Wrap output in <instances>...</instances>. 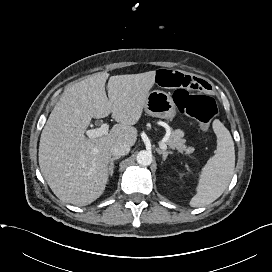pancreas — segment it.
I'll use <instances>...</instances> for the list:
<instances>
[{"instance_id":"obj_1","label":"pancreas","mask_w":272,"mask_h":272,"mask_svg":"<svg viewBox=\"0 0 272 272\" xmlns=\"http://www.w3.org/2000/svg\"><path fill=\"white\" fill-rule=\"evenodd\" d=\"M183 136L184 132L180 129L171 130L170 135L165 143L170 148L176 149L180 153L191 156L195 149L193 147L185 145L186 140L183 138Z\"/></svg>"}]
</instances>
